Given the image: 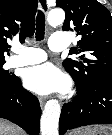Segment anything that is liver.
<instances>
[{"mask_svg":"<svg viewBox=\"0 0 112 135\" xmlns=\"http://www.w3.org/2000/svg\"><path fill=\"white\" fill-rule=\"evenodd\" d=\"M0 135H24V132L18 126L0 119Z\"/></svg>","mask_w":112,"mask_h":135,"instance_id":"1","label":"liver"}]
</instances>
